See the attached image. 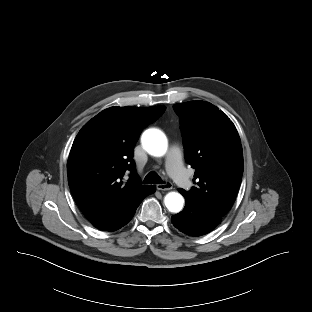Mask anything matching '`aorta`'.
<instances>
[{
	"label": "aorta",
	"mask_w": 312,
	"mask_h": 312,
	"mask_svg": "<svg viewBox=\"0 0 312 312\" xmlns=\"http://www.w3.org/2000/svg\"><path fill=\"white\" fill-rule=\"evenodd\" d=\"M142 145L144 149L153 156H163L168 147L166 136L157 129H149L142 136ZM164 203L170 212L177 213L181 211L184 199L177 192H170L165 196Z\"/></svg>",
	"instance_id": "aorta-1"
}]
</instances>
